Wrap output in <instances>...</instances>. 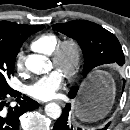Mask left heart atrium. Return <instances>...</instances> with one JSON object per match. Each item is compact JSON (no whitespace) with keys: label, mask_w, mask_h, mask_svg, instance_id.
<instances>
[{"label":"left heart atrium","mask_w":130,"mask_h":130,"mask_svg":"<svg viewBox=\"0 0 130 130\" xmlns=\"http://www.w3.org/2000/svg\"><path fill=\"white\" fill-rule=\"evenodd\" d=\"M63 85V75L54 70L47 75L37 78L28 87V94L39 100H49L56 96L57 91Z\"/></svg>","instance_id":"39dd6f15"}]
</instances>
